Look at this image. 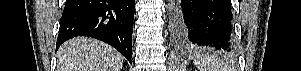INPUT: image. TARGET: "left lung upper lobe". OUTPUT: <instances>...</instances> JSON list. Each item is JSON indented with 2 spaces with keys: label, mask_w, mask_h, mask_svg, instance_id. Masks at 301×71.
I'll return each mask as SVG.
<instances>
[{
  "label": "left lung upper lobe",
  "mask_w": 301,
  "mask_h": 71,
  "mask_svg": "<svg viewBox=\"0 0 301 71\" xmlns=\"http://www.w3.org/2000/svg\"><path fill=\"white\" fill-rule=\"evenodd\" d=\"M171 33H172V32H171ZM172 38H173V39H175V35H174V33H172Z\"/></svg>",
  "instance_id": "1"
}]
</instances>
